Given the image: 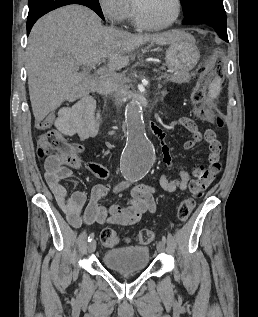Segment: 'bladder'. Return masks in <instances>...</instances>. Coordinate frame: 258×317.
<instances>
[{
	"label": "bladder",
	"mask_w": 258,
	"mask_h": 317,
	"mask_svg": "<svg viewBox=\"0 0 258 317\" xmlns=\"http://www.w3.org/2000/svg\"><path fill=\"white\" fill-rule=\"evenodd\" d=\"M147 246L135 245L108 250L103 255L104 264L116 271H142L149 264Z\"/></svg>",
	"instance_id": "1"
}]
</instances>
